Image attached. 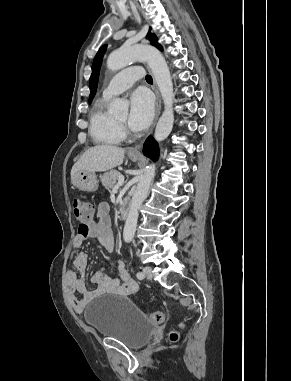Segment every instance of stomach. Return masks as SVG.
<instances>
[{"mask_svg":"<svg viewBox=\"0 0 291 381\" xmlns=\"http://www.w3.org/2000/svg\"><path fill=\"white\" fill-rule=\"evenodd\" d=\"M129 157L133 161L139 160V156L129 154ZM73 185L81 191L95 192L98 189L97 176L93 172L79 171L77 172L73 179Z\"/></svg>","mask_w":291,"mask_h":381,"instance_id":"obj_1","label":"stomach"}]
</instances>
